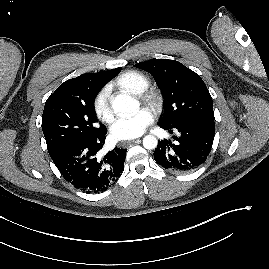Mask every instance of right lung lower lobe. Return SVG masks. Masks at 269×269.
<instances>
[{"instance_id": "right-lung-lower-lobe-1", "label": "right lung lower lobe", "mask_w": 269, "mask_h": 269, "mask_svg": "<svg viewBox=\"0 0 269 269\" xmlns=\"http://www.w3.org/2000/svg\"><path fill=\"white\" fill-rule=\"evenodd\" d=\"M107 130L95 137L71 143L51 157L66 181L86 193H101L111 187L124 170L127 149L115 147L104 157L99 151Z\"/></svg>"}]
</instances>
